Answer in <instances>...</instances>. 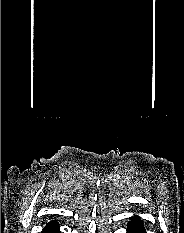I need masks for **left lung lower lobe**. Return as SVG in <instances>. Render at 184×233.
<instances>
[{
	"instance_id": "1",
	"label": "left lung lower lobe",
	"mask_w": 184,
	"mask_h": 233,
	"mask_svg": "<svg viewBox=\"0 0 184 233\" xmlns=\"http://www.w3.org/2000/svg\"><path fill=\"white\" fill-rule=\"evenodd\" d=\"M128 233H146V230L143 226V221L137 215L131 218V221L128 222L127 227Z\"/></svg>"
}]
</instances>
